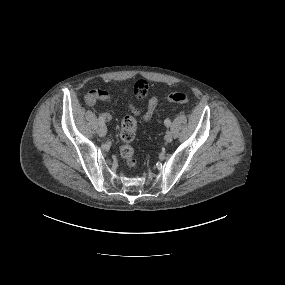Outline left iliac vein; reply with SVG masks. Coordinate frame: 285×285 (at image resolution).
I'll return each mask as SVG.
<instances>
[{
  "mask_svg": "<svg viewBox=\"0 0 285 285\" xmlns=\"http://www.w3.org/2000/svg\"><path fill=\"white\" fill-rule=\"evenodd\" d=\"M165 140L167 142H171L173 140V135L171 132H167L166 135H165Z\"/></svg>",
  "mask_w": 285,
  "mask_h": 285,
  "instance_id": "left-iliac-vein-1",
  "label": "left iliac vein"
}]
</instances>
